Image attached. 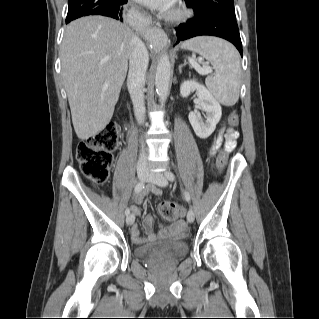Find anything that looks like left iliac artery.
<instances>
[{
	"mask_svg": "<svg viewBox=\"0 0 319 319\" xmlns=\"http://www.w3.org/2000/svg\"><path fill=\"white\" fill-rule=\"evenodd\" d=\"M165 176H166L167 179L170 180V181H174V180H175V175H174L172 172H170V171H167V172L165 173ZM184 198H185V200H186L188 203L190 202V195H189V193H188L187 191H184Z\"/></svg>",
	"mask_w": 319,
	"mask_h": 319,
	"instance_id": "1",
	"label": "left iliac artery"
}]
</instances>
